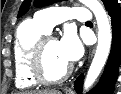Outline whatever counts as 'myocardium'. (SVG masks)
<instances>
[{"label": "myocardium", "instance_id": "f54148a6", "mask_svg": "<svg viewBox=\"0 0 121 94\" xmlns=\"http://www.w3.org/2000/svg\"><path fill=\"white\" fill-rule=\"evenodd\" d=\"M49 40H56L55 37L49 34H45L37 39L34 43L30 54V71L32 77L42 85H56L66 80L71 72L72 65H69L60 76L50 78L46 75L44 69V49Z\"/></svg>", "mask_w": 121, "mask_h": 94}]
</instances>
